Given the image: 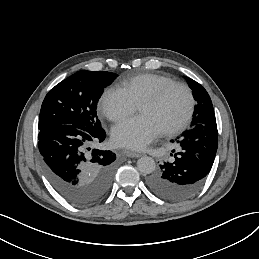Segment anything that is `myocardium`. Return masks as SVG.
Returning a JSON list of instances; mask_svg holds the SVG:
<instances>
[{
	"label": "myocardium",
	"instance_id": "f54148a6",
	"mask_svg": "<svg viewBox=\"0 0 259 259\" xmlns=\"http://www.w3.org/2000/svg\"><path fill=\"white\" fill-rule=\"evenodd\" d=\"M180 88L187 95V110L183 118L174 126L162 131V134L167 137H172L180 133L186 125L191 121L195 110V96L192 89L185 83L172 81L164 84L151 97L145 98L139 105H157L159 104L173 89Z\"/></svg>",
	"mask_w": 259,
	"mask_h": 259
}]
</instances>
